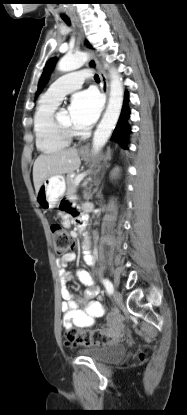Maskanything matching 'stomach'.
I'll list each match as a JSON object with an SVG mask.
<instances>
[{
  "label": "stomach",
  "mask_w": 187,
  "mask_h": 415,
  "mask_svg": "<svg viewBox=\"0 0 187 415\" xmlns=\"http://www.w3.org/2000/svg\"><path fill=\"white\" fill-rule=\"evenodd\" d=\"M84 155V152H81ZM110 157V151L107 158ZM66 189L65 178L62 175H54L47 178L36 194L37 204L43 210H50L57 206Z\"/></svg>",
  "instance_id": "stomach-1"
}]
</instances>
